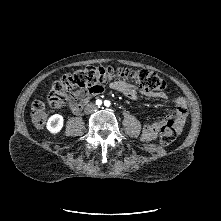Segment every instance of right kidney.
Here are the masks:
<instances>
[{
    "label": "right kidney",
    "instance_id": "obj_1",
    "mask_svg": "<svg viewBox=\"0 0 221 221\" xmlns=\"http://www.w3.org/2000/svg\"><path fill=\"white\" fill-rule=\"evenodd\" d=\"M63 122L62 115L54 114L48 119L46 128L51 134H58L63 127Z\"/></svg>",
    "mask_w": 221,
    "mask_h": 221
}]
</instances>
